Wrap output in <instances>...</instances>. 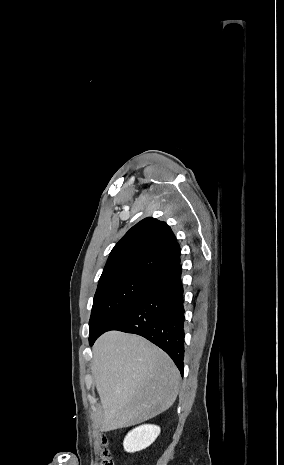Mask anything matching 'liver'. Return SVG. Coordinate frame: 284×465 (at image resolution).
<instances>
[{
	"mask_svg": "<svg viewBox=\"0 0 284 465\" xmlns=\"http://www.w3.org/2000/svg\"><path fill=\"white\" fill-rule=\"evenodd\" d=\"M92 373L103 415L99 431L139 425L175 403L180 375L170 357L137 335L110 331L93 347Z\"/></svg>",
	"mask_w": 284,
	"mask_h": 465,
	"instance_id": "liver-1",
	"label": "liver"
}]
</instances>
